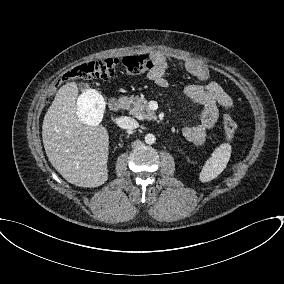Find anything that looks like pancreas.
I'll return each mask as SVG.
<instances>
[{
    "label": "pancreas",
    "instance_id": "cf45deb5",
    "mask_svg": "<svg viewBox=\"0 0 284 284\" xmlns=\"http://www.w3.org/2000/svg\"><path fill=\"white\" fill-rule=\"evenodd\" d=\"M122 108L130 111V114L138 119H155L156 115L148 107L147 99L139 96H123L120 98Z\"/></svg>",
    "mask_w": 284,
    "mask_h": 284
}]
</instances>
